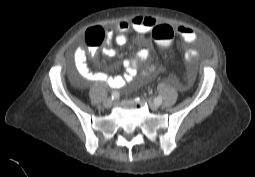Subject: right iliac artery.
Segmentation results:
<instances>
[{"instance_id":"right-iliac-artery-1","label":"right iliac artery","mask_w":255,"mask_h":177,"mask_svg":"<svg viewBox=\"0 0 255 177\" xmlns=\"http://www.w3.org/2000/svg\"><path fill=\"white\" fill-rule=\"evenodd\" d=\"M118 97H119V93H118L117 91H113V92L111 93V98H112V100L117 99Z\"/></svg>"}]
</instances>
